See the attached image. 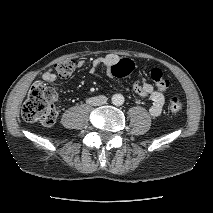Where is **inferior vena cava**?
<instances>
[{
  "mask_svg": "<svg viewBox=\"0 0 213 213\" xmlns=\"http://www.w3.org/2000/svg\"><path fill=\"white\" fill-rule=\"evenodd\" d=\"M106 102H107V98L106 96H103V95H99V96L87 99V103L93 106H100L105 104Z\"/></svg>",
  "mask_w": 213,
  "mask_h": 213,
  "instance_id": "obj_1",
  "label": "inferior vena cava"
}]
</instances>
